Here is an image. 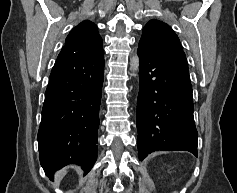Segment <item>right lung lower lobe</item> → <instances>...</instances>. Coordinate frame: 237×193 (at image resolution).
<instances>
[{
  "instance_id": "1",
  "label": "right lung lower lobe",
  "mask_w": 237,
  "mask_h": 193,
  "mask_svg": "<svg viewBox=\"0 0 237 193\" xmlns=\"http://www.w3.org/2000/svg\"><path fill=\"white\" fill-rule=\"evenodd\" d=\"M104 54L81 58L60 52L45 92L38 131L40 163L55 170L78 164L86 175L97 158Z\"/></svg>"
}]
</instances>
